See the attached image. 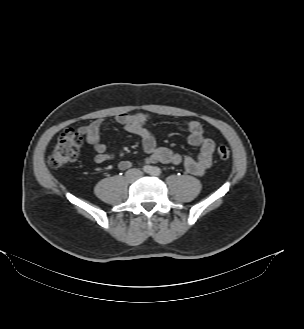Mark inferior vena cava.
I'll return each instance as SVG.
<instances>
[{"instance_id":"inferior-vena-cava-1","label":"inferior vena cava","mask_w":304,"mask_h":329,"mask_svg":"<svg viewBox=\"0 0 304 329\" xmlns=\"http://www.w3.org/2000/svg\"><path fill=\"white\" fill-rule=\"evenodd\" d=\"M141 176H142V172L139 169H135V168L129 169L126 172V177L131 181L138 180Z\"/></svg>"}]
</instances>
